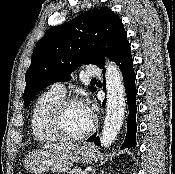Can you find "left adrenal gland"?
<instances>
[{
	"label": "left adrenal gland",
	"instance_id": "obj_1",
	"mask_svg": "<svg viewBox=\"0 0 175 174\" xmlns=\"http://www.w3.org/2000/svg\"><path fill=\"white\" fill-rule=\"evenodd\" d=\"M95 170H92V174H94Z\"/></svg>",
	"mask_w": 175,
	"mask_h": 174
}]
</instances>
